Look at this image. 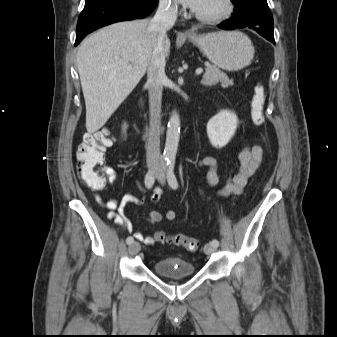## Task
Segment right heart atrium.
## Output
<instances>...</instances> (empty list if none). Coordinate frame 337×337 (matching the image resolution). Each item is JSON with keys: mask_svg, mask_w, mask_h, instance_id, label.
Masks as SVG:
<instances>
[{"mask_svg": "<svg viewBox=\"0 0 337 337\" xmlns=\"http://www.w3.org/2000/svg\"><path fill=\"white\" fill-rule=\"evenodd\" d=\"M161 7L171 14H175L178 11V6L174 0H160Z\"/></svg>", "mask_w": 337, "mask_h": 337, "instance_id": "1", "label": "right heart atrium"}]
</instances>
